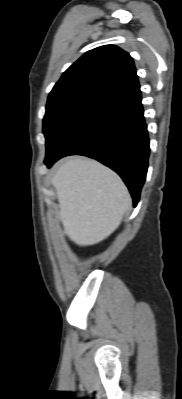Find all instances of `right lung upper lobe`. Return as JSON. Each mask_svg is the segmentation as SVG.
Segmentation results:
<instances>
[{
	"label": "right lung upper lobe",
	"instance_id": "1",
	"mask_svg": "<svg viewBox=\"0 0 182 399\" xmlns=\"http://www.w3.org/2000/svg\"><path fill=\"white\" fill-rule=\"evenodd\" d=\"M130 55L114 45L88 51L55 84L49 98L84 94L105 101L139 89Z\"/></svg>",
	"mask_w": 182,
	"mask_h": 399
}]
</instances>
